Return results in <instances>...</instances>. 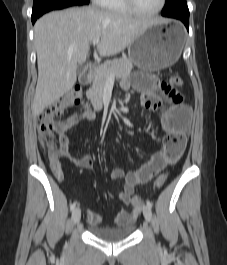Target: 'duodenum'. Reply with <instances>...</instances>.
Instances as JSON below:
<instances>
[{"mask_svg":"<svg viewBox=\"0 0 227 265\" xmlns=\"http://www.w3.org/2000/svg\"><path fill=\"white\" fill-rule=\"evenodd\" d=\"M93 71H94V67L89 65V66H86L84 71L82 72L81 74V77H80V81L82 83H88L91 81V78H92V74H93ZM85 107L90 110V107L88 104H85Z\"/></svg>","mask_w":227,"mask_h":265,"instance_id":"1","label":"duodenum"}]
</instances>
